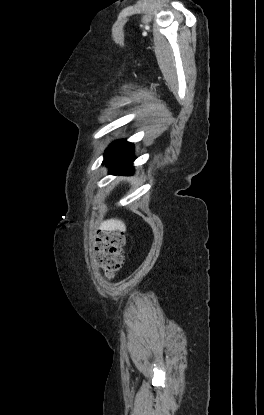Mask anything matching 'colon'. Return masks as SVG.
<instances>
[{
  "label": "colon",
  "instance_id": "5ec220e1",
  "mask_svg": "<svg viewBox=\"0 0 264 415\" xmlns=\"http://www.w3.org/2000/svg\"><path fill=\"white\" fill-rule=\"evenodd\" d=\"M125 236L120 231H100L95 239L96 262L104 275L112 277L124 262Z\"/></svg>",
  "mask_w": 264,
  "mask_h": 415
}]
</instances>
